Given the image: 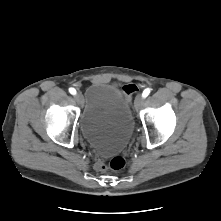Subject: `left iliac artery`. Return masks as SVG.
<instances>
[{
  "label": "left iliac artery",
  "instance_id": "obj_1",
  "mask_svg": "<svg viewBox=\"0 0 221 221\" xmlns=\"http://www.w3.org/2000/svg\"><path fill=\"white\" fill-rule=\"evenodd\" d=\"M149 93H150V89L147 88V89H145V90L143 91L142 96L145 98V97H147V96L149 95Z\"/></svg>",
  "mask_w": 221,
  "mask_h": 221
}]
</instances>
